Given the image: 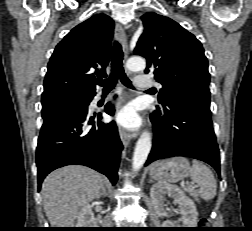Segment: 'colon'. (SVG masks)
Returning <instances> with one entry per match:
<instances>
[{
	"mask_svg": "<svg viewBox=\"0 0 252 231\" xmlns=\"http://www.w3.org/2000/svg\"><path fill=\"white\" fill-rule=\"evenodd\" d=\"M206 222V219H202V224H204Z\"/></svg>",
	"mask_w": 252,
	"mask_h": 231,
	"instance_id": "5ec220e1",
	"label": "colon"
}]
</instances>
